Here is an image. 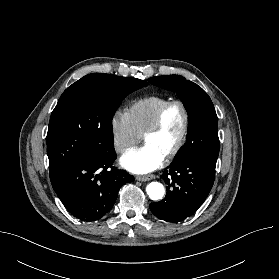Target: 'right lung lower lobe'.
<instances>
[{
    "label": "right lung lower lobe",
    "mask_w": 279,
    "mask_h": 279,
    "mask_svg": "<svg viewBox=\"0 0 279 279\" xmlns=\"http://www.w3.org/2000/svg\"><path fill=\"white\" fill-rule=\"evenodd\" d=\"M116 153L82 158L51 180L66 209L76 218L91 222L107 214L120 188L134 177L113 167Z\"/></svg>",
    "instance_id": "obj_1"
}]
</instances>
